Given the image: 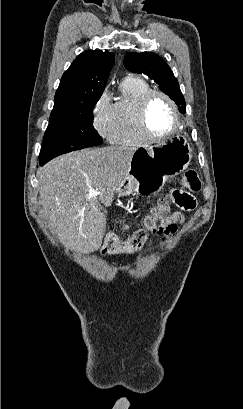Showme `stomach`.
Listing matches in <instances>:
<instances>
[{
    "label": "stomach",
    "instance_id": "obj_1",
    "mask_svg": "<svg viewBox=\"0 0 243 409\" xmlns=\"http://www.w3.org/2000/svg\"><path fill=\"white\" fill-rule=\"evenodd\" d=\"M191 157L192 149L183 137L137 149L130 170L118 187V195L156 194L168 178L178 175L189 166Z\"/></svg>",
    "mask_w": 243,
    "mask_h": 409
}]
</instances>
